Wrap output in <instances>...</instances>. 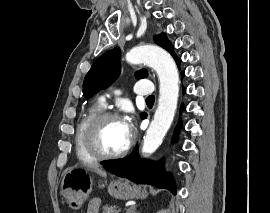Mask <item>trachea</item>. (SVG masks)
I'll return each mask as SVG.
<instances>
[{"mask_svg": "<svg viewBox=\"0 0 270 213\" xmlns=\"http://www.w3.org/2000/svg\"><path fill=\"white\" fill-rule=\"evenodd\" d=\"M155 100V96L154 95H151L149 97L146 98V102H154Z\"/></svg>", "mask_w": 270, "mask_h": 213, "instance_id": "obj_1", "label": "trachea"}]
</instances>
